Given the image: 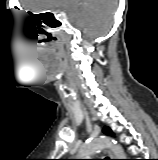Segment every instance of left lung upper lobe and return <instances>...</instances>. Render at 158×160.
<instances>
[{
    "mask_svg": "<svg viewBox=\"0 0 158 160\" xmlns=\"http://www.w3.org/2000/svg\"><path fill=\"white\" fill-rule=\"evenodd\" d=\"M103 132L108 135H114L109 127H104Z\"/></svg>",
    "mask_w": 158,
    "mask_h": 160,
    "instance_id": "obj_1",
    "label": "left lung upper lobe"
}]
</instances>
